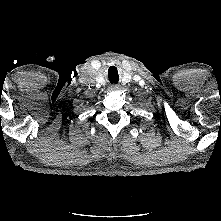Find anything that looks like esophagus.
<instances>
[{"mask_svg":"<svg viewBox=\"0 0 221 221\" xmlns=\"http://www.w3.org/2000/svg\"><path fill=\"white\" fill-rule=\"evenodd\" d=\"M118 89V86H111L110 88H109V90H117Z\"/></svg>","mask_w":221,"mask_h":221,"instance_id":"esophagus-1","label":"esophagus"}]
</instances>
